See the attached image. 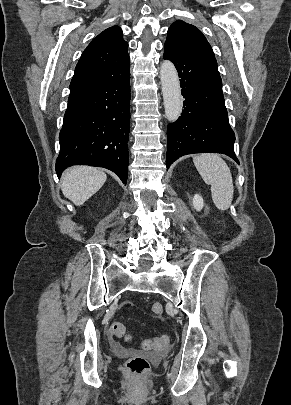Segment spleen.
Wrapping results in <instances>:
<instances>
[{
  "label": "spleen",
  "mask_w": 291,
  "mask_h": 405,
  "mask_svg": "<svg viewBox=\"0 0 291 405\" xmlns=\"http://www.w3.org/2000/svg\"><path fill=\"white\" fill-rule=\"evenodd\" d=\"M193 161L204 182L211 186L215 206L219 210H227L233 199L234 186L226 162L216 154H201Z\"/></svg>",
  "instance_id": "spleen-1"
}]
</instances>
